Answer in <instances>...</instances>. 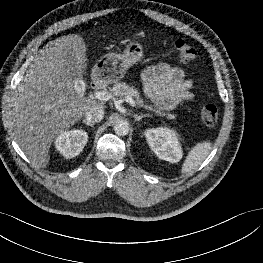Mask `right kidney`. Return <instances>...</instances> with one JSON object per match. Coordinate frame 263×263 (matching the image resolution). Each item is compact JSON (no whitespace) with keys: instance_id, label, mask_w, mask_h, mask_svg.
Returning <instances> with one entry per match:
<instances>
[{"instance_id":"right-kidney-1","label":"right kidney","mask_w":263,"mask_h":263,"mask_svg":"<svg viewBox=\"0 0 263 263\" xmlns=\"http://www.w3.org/2000/svg\"><path fill=\"white\" fill-rule=\"evenodd\" d=\"M87 140V132L82 129H75L60 134L55 141V146L65 158L70 159L82 152Z\"/></svg>"}]
</instances>
